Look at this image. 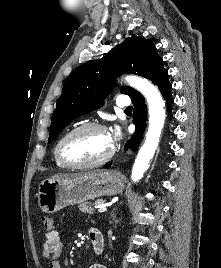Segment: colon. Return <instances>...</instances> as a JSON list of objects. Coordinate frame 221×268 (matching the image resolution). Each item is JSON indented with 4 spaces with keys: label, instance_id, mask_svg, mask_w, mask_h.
<instances>
[{
    "label": "colon",
    "instance_id": "obj_1",
    "mask_svg": "<svg viewBox=\"0 0 221 268\" xmlns=\"http://www.w3.org/2000/svg\"><path fill=\"white\" fill-rule=\"evenodd\" d=\"M42 224L46 230H51L54 228L55 221L51 216H43L42 217Z\"/></svg>",
    "mask_w": 221,
    "mask_h": 268
}]
</instances>
